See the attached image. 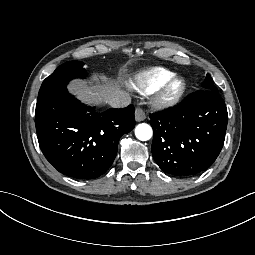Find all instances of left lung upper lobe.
<instances>
[{
  "mask_svg": "<svg viewBox=\"0 0 255 255\" xmlns=\"http://www.w3.org/2000/svg\"><path fill=\"white\" fill-rule=\"evenodd\" d=\"M203 88L206 89V90H212V91H215V92H218L216 86L214 85V82L210 76V74H207L206 75V78H205V81L203 82Z\"/></svg>",
  "mask_w": 255,
  "mask_h": 255,
  "instance_id": "1",
  "label": "left lung upper lobe"
}]
</instances>
